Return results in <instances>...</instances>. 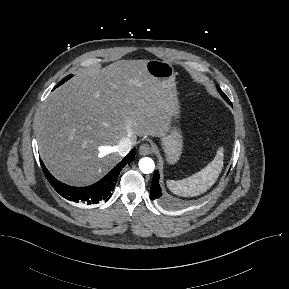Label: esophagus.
I'll return each instance as SVG.
<instances>
[{"instance_id": "1", "label": "esophagus", "mask_w": 289, "mask_h": 289, "mask_svg": "<svg viewBox=\"0 0 289 289\" xmlns=\"http://www.w3.org/2000/svg\"><path fill=\"white\" fill-rule=\"evenodd\" d=\"M151 153V147L149 144L147 143H143L140 147H139V154L140 155H148Z\"/></svg>"}]
</instances>
